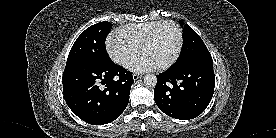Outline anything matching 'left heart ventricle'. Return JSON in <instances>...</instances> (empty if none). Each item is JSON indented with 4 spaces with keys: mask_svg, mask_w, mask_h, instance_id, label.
Listing matches in <instances>:
<instances>
[{
    "mask_svg": "<svg viewBox=\"0 0 276 138\" xmlns=\"http://www.w3.org/2000/svg\"><path fill=\"white\" fill-rule=\"evenodd\" d=\"M179 44V35L172 25L163 26L154 41L149 45L144 55L150 57L158 66L169 62L176 53Z\"/></svg>",
    "mask_w": 276,
    "mask_h": 138,
    "instance_id": "b2bd125f",
    "label": "left heart ventricle"
}]
</instances>
